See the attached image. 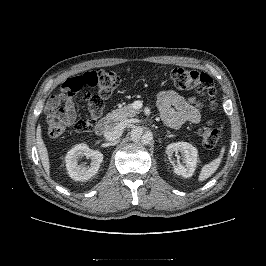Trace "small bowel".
Wrapping results in <instances>:
<instances>
[{"label": "small bowel", "instance_id": "small-bowel-1", "mask_svg": "<svg viewBox=\"0 0 266 266\" xmlns=\"http://www.w3.org/2000/svg\"><path fill=\"white\" fill-rule=\"evenodd\" d=\"M157 104L162 121L170 128H179L187 121L193 124L200 121L202 104L195 97L182 96L173 90H168L158 95ZM58 116L68 125L72 124L76 118L72 92L63 96Z\"/></svg>", "mask_w": 266, "mask_h": 266}]
</instances>
